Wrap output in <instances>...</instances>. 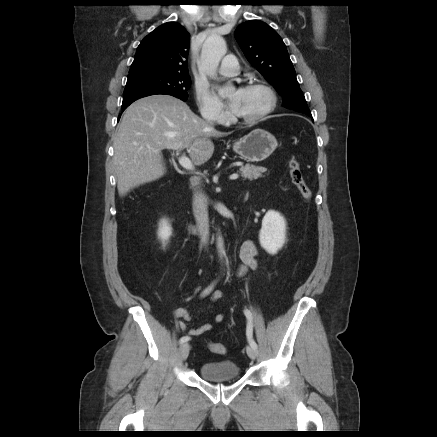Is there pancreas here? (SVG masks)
<instances>
[{
  "mask_svg": "<svg viewBox=\"0 0 437 437\" xmlns=\"http://www.w3.org/2000/svg\"><path fill=\"white\" fill-rule=\"evenodd\" d=\"M239 171L245 179L253 180L262 177V173L266 172L267 169L261 166L246 164L245 166H241Z\"/></svg>",
  "mask_w": 437,
  "mask_h": 437,
  "instance_id": "obj_1",
  "label": "pancreas"
}]
</instances>
